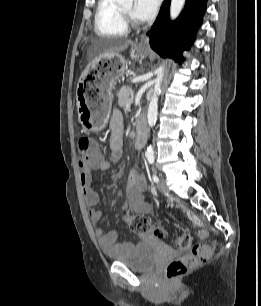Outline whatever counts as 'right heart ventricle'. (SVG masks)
<instances>
[{
    "mask_svg": "<svg viewBox=\"0 0 261 306\" xmlns=\"http://www.w3.org/2000/svg\"><path fill=\"white\" fill-rule=\"evenodd\" d=\"M95 32L99 36L124 37L128 33L117 0H98L95 13Z\"/></svg>",
    "mask_w": 261,
    "mask_h": 306,
    "instance_id": "1",
    "label": "right heart ventricle"
}]
</instances>
